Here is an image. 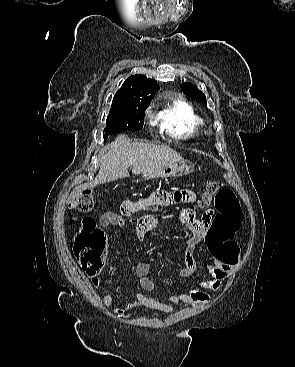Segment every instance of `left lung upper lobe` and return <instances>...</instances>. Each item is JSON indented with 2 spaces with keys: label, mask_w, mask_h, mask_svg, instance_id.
Masks as SVG:
<instances>
[{
  "label": "left lung upper lobe",
  "mask_w": 295,
  "mask_h": 367,
  "mask_svg": "<svg viewBox=\"0 0 295 367\" xmlns=\"http://www.w3.org/2000/svg\"><path fill=\"white\" fill-rule=\"evenodd\" d=\"M181 89L182 91L191 96L196 98L198 101H200L202 104H204L205 106H207V101H206V96L204 95V93L202 91H200L195 85H193L192 83H183L181 85Z\"/></svg>",
  "instance_id": "obj_1"
}]
</instances>
